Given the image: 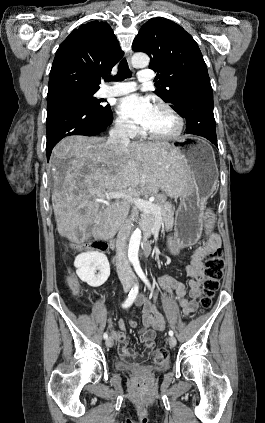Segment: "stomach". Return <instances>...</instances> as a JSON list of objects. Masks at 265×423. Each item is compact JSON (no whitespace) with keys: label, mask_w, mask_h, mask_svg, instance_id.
I'll list each match as a JSON object with an SVG mask.
<instances>
[{"label":"stomach","mask_w":265,"mask_h":423,"mask_svg":"<svg viewBox=\"0 0 265 423\" xmlns=\"http://www.w3.org/2000/svg\"><path fill=\"white\" fill-rule=\"evenodd\" d=\"M170 146L180 156L184 181L169 243L171 252L177 254L181 248L198 241L203 225L204 198L212 191L217 168L214 151L202 138L185 136Z\"/></svg>","instance_id":"stomach-1"}]
</instances>
